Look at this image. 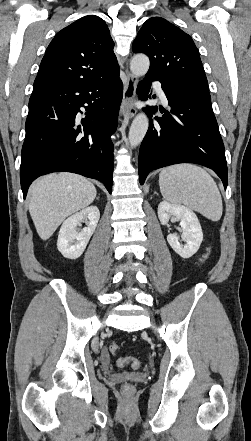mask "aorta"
<instances>
[{
  "mask_svg": "<svg viewBox=\"0 0 251 441\" xmlns=\"http://www.w3.org/2000/svg\"><path fill=\"white\" fill-rule=\"evenodd\" d=\"M149 65V58L146 55H135L130 62V70L136 76H143L148 72ZM148 126L149 120L145 113H139L134 118L128 134L129 143L132 148L142 142Z\"/></svg>",
  "mask_w": 251,
  "mask_h": 441,
  "instance_id": "obj_1",
  "label": "aorta"
}]
</instances>
